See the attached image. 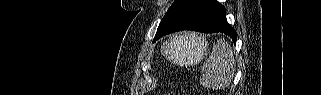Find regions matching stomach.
Listing matches in <instances>:
<instances>
[{
	"label": "stomach",
	"instance_id": "stomach-1",
	"mask_svg": "<svg viewBox=\"0 0 321 95\" xmlns=\"http://www.w3.org/2000/svg\"><path fill=\"white\" fill-rule=\"evenodd\" d=\"M208 51L204 38L192 33L179 34L171 37L164 45L162 53L170 60L179 64H194Z\"/></svg>",
	"mask_w": 321,
	"mask_h": 95
}]
</instances>
